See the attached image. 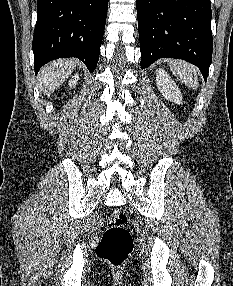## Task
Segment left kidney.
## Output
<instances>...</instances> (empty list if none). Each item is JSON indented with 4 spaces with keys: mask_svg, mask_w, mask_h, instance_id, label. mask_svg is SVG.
<instances>
[{
    "mask_svg": "<svg viewBox=\"0 0 233 286\" xmlns=\"http://www.w3.org/2000/svg\"><path fill=\"white\" fill-rule=\"evenodd\" d=\"M156 82L159 91L166 99L177 104H182L181 91L165 70H156Z\"/></svg>",
    "mask_w": 233,
    "mask_h": 286,
    "instance_id": "left-kidney-1",
    "label": "left kidney"
}]
</instances>
